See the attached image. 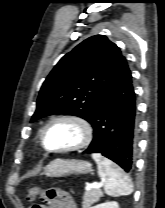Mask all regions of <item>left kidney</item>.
I'll return each mask as SVG.
<instances>
[{
    "mask_svg": "<svg viewBox=\"0 0 165 208\" xmlns=\"http://www.w3.org/2000/svg\"><path fill=\"white\" fill-rule=\"evenodd\" d=\"M91 208H119V205L116 201H111V202H105L98 204L96 206H93Z\"/></svg>",
    "mask_w": 165,
    "mask_h": 208,
    "instance_id": "left-kidney-1",
    "label": "left kidney"
}]
</instances>
